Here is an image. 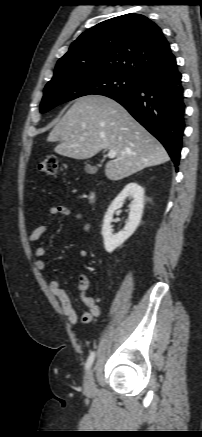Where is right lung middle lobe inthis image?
<instances>
[{"label":"right lung middle lobe","mask_w":202,"mask_h":437,"mask_svg":"<svg viewBox=\"0 0 202 437\" xmlns=\"http://www.w3.org/2000/svg\"><path fill=\"white\" fill-rule=\"evenodd\" d=\"M137 78L121 73L66 74L52 79L44 89L40 112L85 95L111 96L131 90Z\"/></svg>","instance_id":"obj_1"}]
</instances>
